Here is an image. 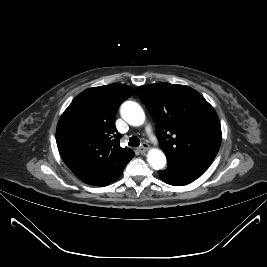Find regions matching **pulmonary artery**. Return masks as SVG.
Returning <instances> with one entry per match:
<instances>
[{
	"label": "pulmonary artery",
	"instance_id": "e3ab8cb5",
	"mask_svg": "<svg viewBox=\"0 0 267 267\" xmlns=\"http://www.w3.org/2000/svg\"><path fill=\"white\" fill-rule=\"evenodd\" d=\"M146 131H147V133H148L151 137H153L152 130H151V127H150V126H147V127H146Z\"/></svg>",
	"mask_w": 267,
	"mask_h": 267
}]
</instances>
